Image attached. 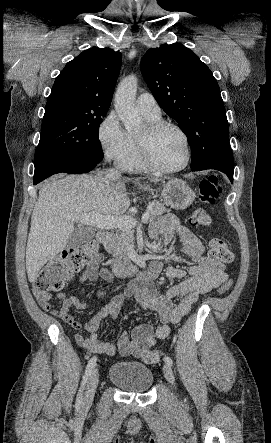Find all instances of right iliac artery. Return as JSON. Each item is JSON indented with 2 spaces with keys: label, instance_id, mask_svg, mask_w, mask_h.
I'll use <instances>...</instances> for the list:
<instances>
[{
  "label": "right iliac artery",
  "instance_id": "right-iliac-artery-1",
  "mask_svg": "<svg viewBox=\"0 0 271 443\" xmlns=\"http://www.w3.org/2000/svg\"><path fill=\"white\" fill-rule=\"evenodd\" d=\"M96 361H97V357H96V356H93V357L90 359V361L88 362L87 366H86V370H85V374H84V376H83V380H82V383H81V387H80L79 392H78V394H77V399H76V405H77V406H80L81 403H82V397H83L84 387H85V384H86V382H87L89 376L91 375V372H92L94 366L96 365Z\"/></svg>",
  "mask_w": 271,
  "mask_h": 443
}]
</instances>
